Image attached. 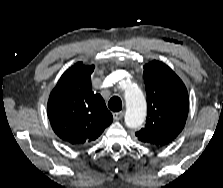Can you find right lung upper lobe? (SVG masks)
Here are the masks:
<instances>
[{"label": "right lung upper lobe", "mask_w": 223, "mask_h": 188, "mask_svg": "<svg viewBox=\"0 0 223 188\" xmlns=\"http://www.w3.org/2000/svg\"><path fill=\"white\" fill-rule=\"evenodd\" d=\"M93 70L94 65L76 63L64 72L48 100L52 129L76 148L92 144L113 121L103 98L91 90Z\"/></svg>", "instance_id": "right-lung-upper-lobe-1"}]
</instances>
